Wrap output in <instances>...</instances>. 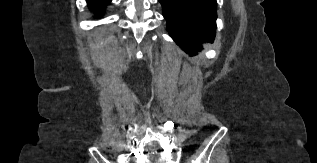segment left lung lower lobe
Returning <instances> with one entry per match:
<instances>
[{"instance_id":"left-lung-lower-lobe-1","label":"left lung lower lobe","mask_w":317,"mask_h":163,"mask_svg":"<svg viewBox=\"0 0 317 163\" xmlns=\"http://www.w3.org/2000/svg\"><path fill=\"white\" fill-rule=\"evenodd\" d=\"M167 29L186 52L195 53L215 37L216 0H159Z\"/></svg>"}]
</instances>
